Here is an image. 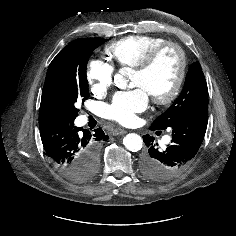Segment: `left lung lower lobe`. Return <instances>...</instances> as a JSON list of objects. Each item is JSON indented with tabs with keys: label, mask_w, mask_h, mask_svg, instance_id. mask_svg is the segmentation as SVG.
<instances>
[{
	"label": "left lung lower lobe",
	"mask_w": 236,
	"mask_h": 236,
	"mask_svg": "<svg viewBox=\"0 0 236 236\" xmlns=\"http://www.w3.org/2000/svg\"><path fill=\"white\" fill-rule=\"evenodd\" d=\"M208 123V105L194 107L171 125L172 143L160 149L154 137L144 135L148 151L141 158V170L147 178L164 182L178 176L191 163L204 139ZM152 130V129H151Z\"/></svg>",
	"instance_id": "0a47b994"
}]
</instances>
